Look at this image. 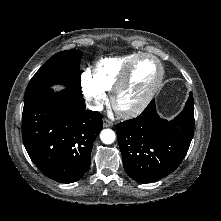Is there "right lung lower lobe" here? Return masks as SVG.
I'll return each instance as SVG.
<instances>
[{
  "label": "right lung lower lobe",
  "instance_id": "1",
  "mask_svg": "<svg viewBox=\"0 0 221 221\" xmlns=\"http://www.w3.org/2000/svg\"><path fill=\"white\" fill-rule=\"evenodd\" d=\"M101 129L102 115L86 110L82 95L69 89H46L24 100V146L36 167L54 181L73 183L84 176Z\"/></svg>",
  "mask_w": 221,
  "mask_h": 221
}]
</instances>
